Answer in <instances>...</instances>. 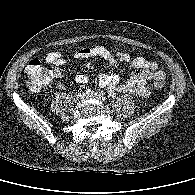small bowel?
Wrapping results in <instances>:
<instances>
[{"label":"small bowel","mask_w":195,"mask_h":195,"mask_svg":"<svg viewBox=\"0 0 195 195\" xmlns=\"http://www.w3.org/2000/svg\"><path fill=\"white\" fill-rule=\"evenodd\" d=\"M75 57L79 60H85L93 57H100L107 61V63L114 67L121 62L130 63L136 71L128 77L125 82H121L116 74L99 75V84L105 88L110 95H116L121 92L130 93L134 95H148L150 92L146 87L149 80H155L158 77L165 75L164 71L159 70L158 64L153 60H146L141 56L131 57L128 52L117 51L115 53L104 47H94L79 50ZM48 61L58 67H62L65 61L60 52H52L48 55ZM73 82L77 84H86L88 82L87 75L83 73H76ZM59 87L61 82H57Z\"/></svg>","instance_id":"small-bowel-1"}]
</instances>
